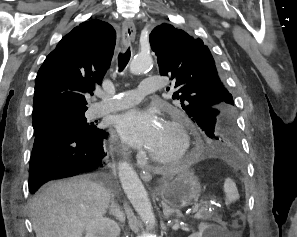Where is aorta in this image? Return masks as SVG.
I'll list each match as a JSON object with an SVG mask.
<instances>
[{"instance_id": "762f6f07", "label": "aorta", "mask_w": 297, "mask_h": 237, "mask_svg": "<svg viewBox=\"0 0 297 237\" xmlns=\"http://www.w3.org/2000/svg\"><path fill=\"white\" fill-rule=\"evenodd\" d=\"M149 55H137L131 62L129 70L134 75L142 74L152 66ZM122 188L138 213L139 217L151 228L156 226V219L147 192L133 167L126 161L118 165Z\"/></svg>"}]
</instances>
